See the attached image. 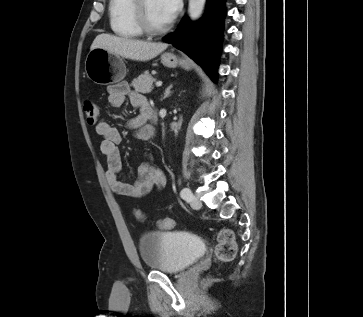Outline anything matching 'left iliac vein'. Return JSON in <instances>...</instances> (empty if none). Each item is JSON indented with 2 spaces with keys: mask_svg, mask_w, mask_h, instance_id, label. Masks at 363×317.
<instances>
[{
  "mask_svg": "<svg viewBox=\"0 0 363 317\" xmlns=\"http://www.w3.org/2000/svg\"><path fill=\"white\" fill-rule=\"evenodd\" d=\"M189 202H190V205H191V207L193 209H200L201 206H202V203H201L200 199L197 196L193 195V194H192Z\"/></svg>",
  "mask_w": 363,
  "mask_h": 317,
  "instance_id": "4c4485c4",
  "label": "left iliac vein"
}]
</instances>
